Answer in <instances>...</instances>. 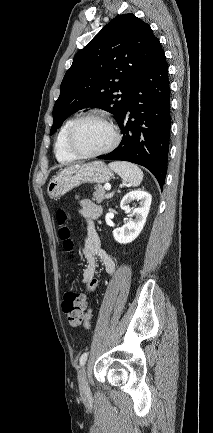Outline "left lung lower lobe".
I'll return each instance as SVG.
<instances>
[{"mask_svg":"<svg viewBox=\"0 0 213 433\" xmlns=\"http://www.w3.org/2000/svg\"><path fill=\"white\" fill-rule=\"evenodd\" d=\"M118 125L123 132L121 143L109 154L97 158L142 165L153 173L162 188L171 128L168 66L162 47L133 87Z\"/></svg>","mask_w":213,"mask_h":433,"instance_id":"left-lung-lower-lobe-1","label":"left lung lower lobe"}]
</instances>
